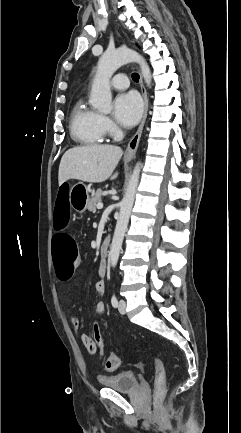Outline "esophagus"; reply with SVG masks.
<instances>
[{
    "label": "esophagus",
    "mask_w": 241,
    "mask_h": 433,
    "mask_svg": "<svg viewBox=\"0 0 241 433\" xmlns=\"http://www.w3.org/2000/svg\"><path fill=\"white\" fill-rule=\"evenodd\" d=\"M140 88H141V93H142L143 102H144V111H143V116L141 119V123L138 127V130L135 133V135L131 138V140L129 141L128 146L126 148V151H125V158L126 159H131L135 155L139 141H140V137H141V134L143 131V127L145 124V120L147 117L148 98H147V93H146V89H145L141 74H140Z\"/></svg>",
    "instance_id": "obj_1"
}]
</instances>
